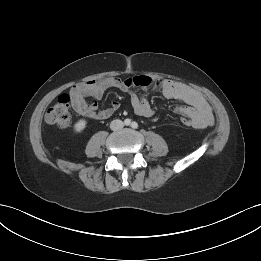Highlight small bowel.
I'll use <instances>...</instances> for the list:
<instances>
[{"instance_id": "c3829d8e", "label": "small bowel", "mask_w": 261, "mask_h": 261, "mask_svg": "<svg viewBox=\"0 0 261 261\" xmlns=\"http://www.w3.org/2000/svg\"><path fill=\"white\" fill-rule=\"evenodd\" d=\"M110 88L129 93L132 108L139 116H153L154 110L150 106L147 93L157 90L167 99L180 100L186 104V106L177 107L176 113L189 118L194 128L203 129L214 123L212 109L201 93L173 80L155 79L146 75H137L126 79L107 77L75 85L69 91L72 108L76 113L86 118L95 120L109 118L118 110L119 102L113 101L110 107L99 110L97 102H87L86 97L99 100ZM137 90H142L146 94L139 96Z\"/></svg>"}]
</instances>
